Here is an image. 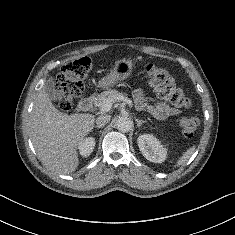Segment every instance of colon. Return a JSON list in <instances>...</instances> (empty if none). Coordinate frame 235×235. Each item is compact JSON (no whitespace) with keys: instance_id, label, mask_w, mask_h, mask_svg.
Returning a JSON list of instances; mask_svg holds the SVG:
<instances>
[{"instance_id":"1","label":"colon","mask_w":235,"mask_h":235,"mask_svg":"<svg viewBox=\"0 0 235 235\" xmlns=\"http://www.w3.org/2000/svg\"><path fill=\"white\" fill-rule=\"evenodd\" d=\"M92 69V61L89 57H81L64 65L56 80L55 100L60 111H68L74 101L84 89V79ZM144 73L149 84L154 88L160 98L176 107H190L191 101L185 96L170 73L155 66L146 64ZM179 125L186 137H192L198 130L200 121L195 116H184Z\"/></svg>"}]
</instances>
